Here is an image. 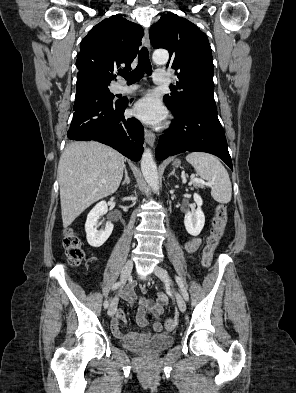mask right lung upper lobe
Wrapping results in <instances>:
<instances>
[{"mask_svg": "<svg viewBox=\"0 0 296 393\" xmlns=\"http://www.w3.org/2000/svg\"><path fill=\"white\" fill-rule=\"evenodd\" d=\"M143 28L122 18L111 16L95 25L84 37L77 55V75H87L107 82L116 79L120 66L126 70L141 45Z\"/></svg>", "mask_w": 296, "mask_h": 393, "instance_id": "obj_1", "label": "right lung upper lobe"}]
</instances>
